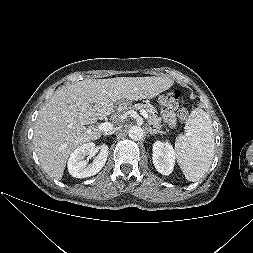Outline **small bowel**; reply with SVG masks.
<instances>
[{"mask_svg": "<svg viewBox=\"0 0 253 253\" xmlns=\"http://www.w3.org/2000/svg\"><path fill=\"white\" fill-rule=\"evenodd\" d=\"M162 118L164 122L169 125L170 127H175L176 125V115L171 110H163L162 111Z\"/></svg>", "mask_w": 253, "mask_h": 253, "instance_id": "obj_1", "label": "small bowel"}]
</instances>
